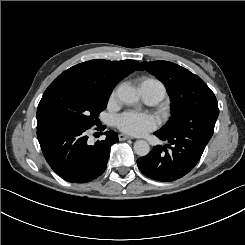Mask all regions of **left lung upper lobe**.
<instances>
[{
	"mask_svg": "<svg viewBox=\"0 0 245 245\" xmlns=\"http://www.w3.org/2000/svg\"><path fill=\"white\" fill-rule=\"evenodd\" d=\"M143 66L165 85L171 100L172 117L159 131L173 133L191 128L202 117L216 121V97L201 78L168 61L143 62Z\"/></svg>",
	"mask_w": 245,
	"mask_h": 245,
	"instance_id": "5c2ea615",
	"label": "left lung upper lobe"
}]
</instances>
